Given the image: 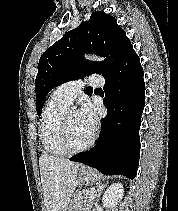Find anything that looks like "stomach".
I'll return each instance as SVG.
<instances>
[{
	"instance_id": "obj_1",
	"label": "stomach",
	"mask_w": 178,
	"mask_h": 211,
	"mask_svg": "<svg viewBox=\"0 0 178 211\" xmlns=\"http://www.w3.org/2000/svg\"><path fill=\"white\" fill-rule=\"evenodd\" d=\"M98 180V173L92 168L82 166L79 172V183L83 185H93Z\"/></svg>"
}]
</instances>
